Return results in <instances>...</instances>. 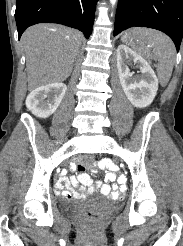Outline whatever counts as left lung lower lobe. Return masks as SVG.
<instances>
[{"label":"left lung lower lobe","instance_id":"obj_1","mask_svg":"<svg viewBox=\"0 0 183 246\" xmlns=\"http://www.w3.org/2000/svg\"><path fill=\"white\" fill-rule=\"evenodd\" d=\"M130 27L164 32L178 52L183 37V0H119L113 35Z\"/></svg>","mask_w":183,"mask_h":246}]
</instances>
